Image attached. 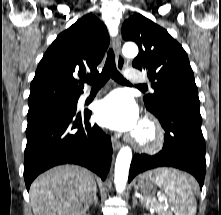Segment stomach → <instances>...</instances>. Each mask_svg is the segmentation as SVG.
Listing matches in <instances>:
<instances>
[{"mask_svg": "<svg viewBox=\"0 0 221 215\" xmlns=\"http://www.w3.org/2000/svg\"><path fill=\"white\" fill-rule=\"evenodd\" d=\"M162 170L164 169H159L153 172H147L141 175L138 178V183L136 185L137 190H140L144 194L152 193L158 185V183L156 182V178Z\"/></svg>", "mask_w": 221, "mask_h": 215, "instance_id": "1", "label": "stomach"}]
</instances>
